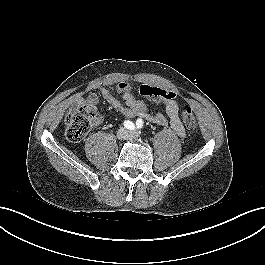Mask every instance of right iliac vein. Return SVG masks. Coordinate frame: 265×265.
<instances>
[{
	"mask_svg": "<svg viewBox=\"0 0 265 265\" xmlns=\"http://www.w3.org/2000/svg\"><path fill=\"white\" fill-rule=\"evenodd\" d=\"M124 133H125V131H124V130H120V131L118 132V135H119V136H123V135H124Z\"/></svg>",
	"mask_w": 265,
	"mask_h": 265,
	"instance_id": "1",
	"label": "right iliac vein"
}]
</instances>
